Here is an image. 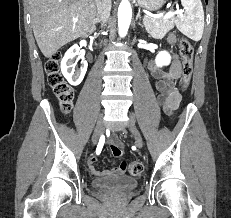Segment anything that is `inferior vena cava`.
<instances>
[{"mask_svg":"<svg viewBox=\"0 0 231 218\" xmlns=\"http://www.w3.org/2000/svg\"><path fill=\"white\" fill-rule=\"evenodd\" d=\"M96 19L102 22V25L108 20L111 11V0H97Z\"/></svg>","mask_w":231,"mask_h":218,"instance_id":"602c4592","label":"inferior vena cava"}]
</instances>
